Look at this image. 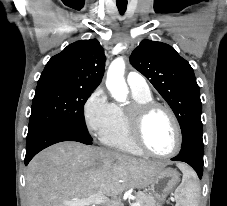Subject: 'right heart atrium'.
I'll use <instances>...</instances> for the list:
<instances>
[{
    "label": "right heart atrium",
    "mask_w": 227,
    "mask_h": 206,
    "mask_svg": "<svg viewBox=\"0 0 227 206\" xmlns=\"http://www.w3.org/2000/svg\"><path fill=\"white\" fill-rule=\"evenodd\" d=\"M83 115L88 131L94 136L102 137L110 128L114 119V104L102 88H97L87 98Z\"/></svg>",
    "instance_id": "right-heart-atrium-1"
}]
</instances>
